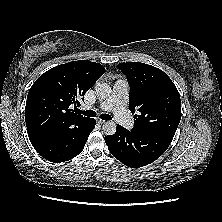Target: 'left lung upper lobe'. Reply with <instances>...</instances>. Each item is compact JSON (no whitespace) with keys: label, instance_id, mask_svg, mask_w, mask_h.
Here are the masks:
<instances>
[{"label":"left lung upper lobe","instance_id":"obj_1","mask_svg":"<svg viewBox=\"0 0 222 222\" xmlns=\"http://www.w3.org/2000/svg\"><path fill=\"white\" fill-rule=\"evenodd\" d=\"M130 86L129 110L140 113L132 130L174 135L181 120V100L172 80L160 69L139 62L119 63Z\"/></svg>","mask_w":222,"mask_h":222}]
</instances>
